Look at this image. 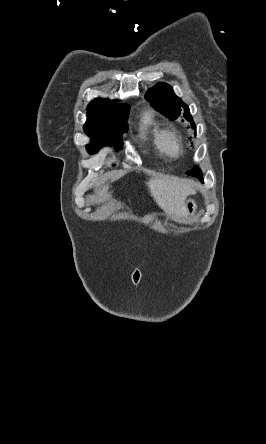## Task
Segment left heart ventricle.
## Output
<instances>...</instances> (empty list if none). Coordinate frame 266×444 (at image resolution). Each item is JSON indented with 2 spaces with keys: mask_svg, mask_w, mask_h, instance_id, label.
<instances>
[{
  "mask_svg": "<svg viewBox=\"0 0 266 444\" xmlns=\"http://www.w3.org/2000/svg\"><path fill=\"white\" fill-rule=\"evenodd\" d=\"M170 146H171V148H172L173 150H176V147H177L176 141H175V140H171V141H170Z\"/></svg>",
  "mask_w": 266,
  "mask_h": 444,
  "instance_id": "b2bd125f",
  "label": "left heart ventricle"
}]
</instances>
